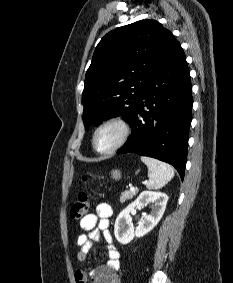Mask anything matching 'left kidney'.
<instances>
[{
    "label": "left kidney",
    "mask_w": 233,
    "mask_h": 283,
    "mask_svg": "<svg viewBox=\"0 0 233 283\" xmlns=\"http://www.w3.org/2000/svg\"><path fill=\"white\" fill-rule=\"evenodd\" d=\"M168 196L161 192H142L138 198L125 208L117 217L114 226V234L118 242L128 244L134 237H142L150 232L161 220ZM152 203V211L134 228L131 213L134 209H141L147 204Z\"/></svg>",
    "instance_id": "1"
}]
</instances>
